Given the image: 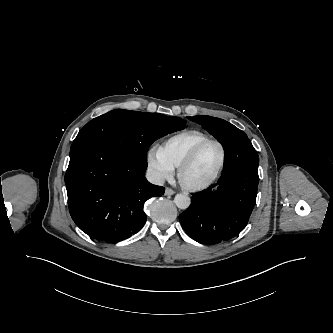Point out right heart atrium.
I'll list each match as a JSON object with an SVG mask.
<instances>
[{
  "instance_id": "obj_1",
  "label": "right heart atrium",
  "mask_w": 333,
  "mask_h": 333,
  "mask_svg": "<svg viewBox=\"0 0 333 333\" xmlns=\"http://www.w3.org/2000/svg\"><path fill=\"white\" fill-rule=\"evenodd\" d=\"M146 162L149 172L158 181L170 179L174 174V166L162 155L157 147H151L148 150Z\"/></svg>"
}]
</instances>
